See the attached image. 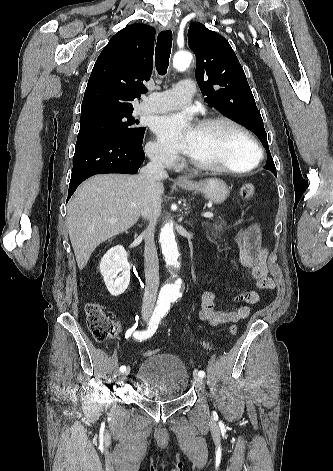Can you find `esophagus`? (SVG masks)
Masks as SVG:
<instances>
[{
    "label": "esophagus",
    "instance_id": "34e87169",
    "mask_svg": "<svg viewBox=\"0 0 333 471\" xmlns=\"http://www.w3.org/2000/svg\"><path fill=\"white\" fill-rule=\"evenodd\" d=\"M164 29H167V30H172L174 31L175 30V27L172 23H168L167 25H165L163 27ZM177 181L178 182H187L188 180L184 177V176H178L177 177Z\"/></svg>",
    "mask_w": 333,
    "mask_h": 471
}]
</instances>
